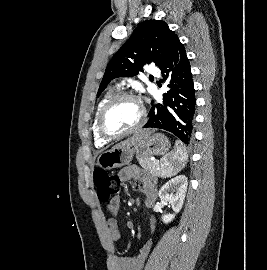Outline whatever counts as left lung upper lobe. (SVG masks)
I'll use <instances>...</instances> for the list:
<instances>
[{"label": "left lung upper lobe", "mask_w": 267, "mask_h": 270, "mask_svg": "<svg viewBox=\"0 0 267 270\" xmlns=\"http://www.w3.org/2000/svg\"><path fill=\"white\" fill-rule=\"evenodd\" d=\"M178 41V36L162 20L141 23L107 65L98 96L112 79L137 75L145 64L155 62L161 68Z\"/></svg>", "instance_id": "1"}]
</instances>
